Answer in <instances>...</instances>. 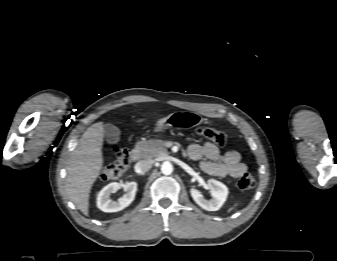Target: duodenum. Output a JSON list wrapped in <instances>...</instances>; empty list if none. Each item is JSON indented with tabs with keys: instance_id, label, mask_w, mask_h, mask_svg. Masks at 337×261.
<instances>
[{
	"instance_id": "1",
	"label": "duodenum",
	"mask_w": 337,
	"mask_h": 261,
	"mask_svg": "<svg viewBox=\"0 0 337 261\" xmlns=\"http://www.w3.org/2000/svg\"><path fill=\"white\" fill-rule=\"evenodd\" d=\"M131 158H132L133 161L139 160V158H140L139 148L136 147L131 151Z\"/></svg>"
}]
</instances>
